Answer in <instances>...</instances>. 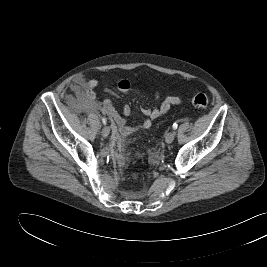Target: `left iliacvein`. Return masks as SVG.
<instances>
[{
  "mask_svg": "<svg viewBox=\"0 0 267 267\" xmlns=\"http://www.w3.org/2000/svg\"><path fill=\"white\" fill-rule=\"evenodd\" d=\"M174 137H175V133L173 131L168 132L165 135V141H166V143H168V144L172 143L173 140H174Z\"/></svg>",
  "mask_w": 267,
  "mask_h": 267,
  "instance_id": "left-iliac-vein-1",
  "label": "left iliac vein"
}]
</instances>
